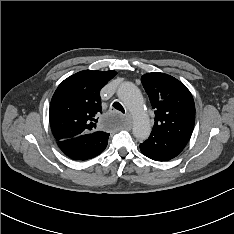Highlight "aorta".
I'll list each match as a JSON object with an SVG mask.
<instances>
[{"label": "aorta", "mask_w": 234, "mask_h": 234, "mask_svg": "<svg viewBox=\"0 0 234 234\" xmlns=\"http://www.w3.org/2000/svg\"><path fill=\"white\" fill-rule=\"evenodd\" d=\"M117 95L133 116V134L139 140H146L151 133V125L146 114L143 97L132 82L122 83Z\"/></svg>", "instance_id": "762f6f07"}]
</instances>
